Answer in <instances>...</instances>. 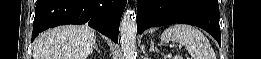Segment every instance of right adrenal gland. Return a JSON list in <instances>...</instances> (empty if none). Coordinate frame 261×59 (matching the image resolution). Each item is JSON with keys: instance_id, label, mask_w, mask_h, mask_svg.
<instances>
[{"instance_id": "obj_1", "label": "right adrenal gland", "mask_w": 261, "mask_h": 59, "mask_svg": "<svg viewBox=\"0 0 261 59\" xmlns=\"http://www.w3.org/2000/svg\"><path fill=\"white\" fill-rule=\"evenodd\" d=\"M93 49L96 50L98 53H100V50H99L96 42L94 43Z\"/></svg>"}]
</instances>
